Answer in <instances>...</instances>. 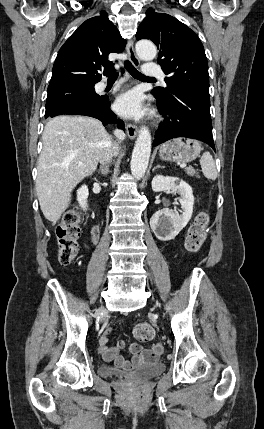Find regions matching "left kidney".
I'll list each match as a JSON object with an SVG mask.
<instances>
[{
	"mask_svg": "<svg viewBox=\"0 0 264 429\" xmlns=\"http://www.w3.org/2000/svg\"><path fill=\"white\" fill-rule=\"evenodd\" d=\"M169 189L173 194H180L182 214L164 208L158 210L150 219V227L155 236L161 241L174 239L187 225L192 217L194 196L189 184L178 177L156 175L152 180V190L161 192Z\"/></svg>",
	"mask_w": 264,
	"mask_h": 429,
	"instance_id": "left-kidney-1",
	"label": "left kidney"
}]
</instances>
